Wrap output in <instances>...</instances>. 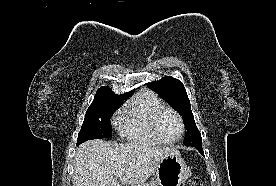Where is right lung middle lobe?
Instances as JSON below:
<instances>
[{"instance_id": "right-lung-middle-lobe-1", "label": "right lung middle lobe", "mask_w": 276, "mask_h": 186, "mask_svg": "<svg viewBox=\"0 0 276 186\" xmlns=\"http://www.w3.org/2000/svg\"><path fill=\"white\" fill-rule=\"evenodd\" d=\"M129 96L114 93L96 94L94 101L86 112L77 144L91 139L111 137L112 127L109 119L115 110L120 107L122 101Z\"/></svg>"}]
</instances>
